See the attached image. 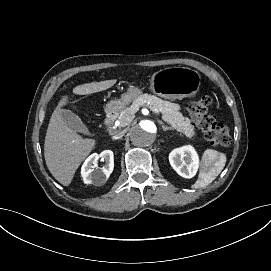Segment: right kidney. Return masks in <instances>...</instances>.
Instances as JSON below:
<instances>
[{
	"label": "right kidney",
	"mask_w": 271,
	"mask_h": 271,
	"mask_svg": "<svg viewBox=\"0 0 271 271\" xmlns=\"http://www.w3.org/2000/svg\"><path fill=\"white\" fill-rule=\"evenodd\" d=\"M99 158L105 160V165L101 169H95V164ZM114 168V154L111 150H104L100 154H91L83 163L81 176L85 184L102 186L106 183Z\"/></svg>",
	"instance_id": "right-kidney-1"
}]
</instances>
